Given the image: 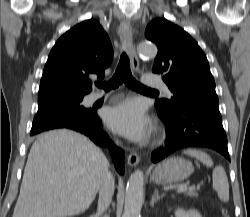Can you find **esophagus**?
Here are the masks:
<instances>
[{
	"instance_id": "1",
	"label": "esophagus",
	"mask_w": 250,
	"mask_h": 217,
	"mask_svg": "<svg viewBox=\"0 0 250 217\" xmlns=\"http://www.w3.org/2000/svg\"><path fill=\"white\" fill-rule=\"evenodd\" d=\"M119 37L124 45L125 49L128 52V55L131 59L132 67L134 71H138L139 69V60L135 51L134 43H133V33L131 29L130 22L124 20L118 29ZM140 162V156L136 152H131L128 155V164L132 167L137 166Z\"/></svg>"
}]
</instances>
